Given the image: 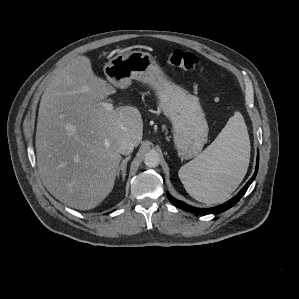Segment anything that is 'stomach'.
<instances>
[{
	"instance_id": "obj_1",
	"label": "stomach",
	"mask_w": 299,
	"mask_h": 299,
	"mask_svg": "<svg viewBox=\"0 0 299 299\" xmlns=\"http://www.w3.org/2000/svg\"><path fill=\"white\" fill-rule=\"evenodd\" d=\"M109 82L125 88L133 79L149 85L172 124L174 145L184 159L198 156L208 137V124L199 99L167 78L153 56L143 51L116 55L104 66Z\"/></svg>"
}]
</instances>
